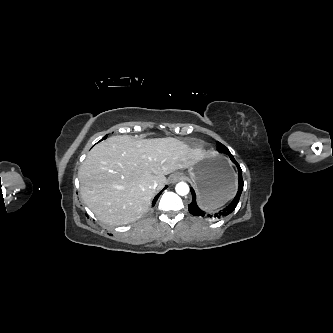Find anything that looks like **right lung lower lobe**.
I'll return each instance as SVG.
<instances>
[{"mask_svg": "<svg viewBox=\"0 0 333 333\" xmlns=\"http://www.w3.org/2000/svg\"><path fill=\"white\" fill-rule=\"evenodd\" d=\"M166 188H167V186L164 189H166ZM163 190L155 196V198L153 200V206L155 205L156 200L158 199V197L160 196V194L163 192Z\"/></svg>", "mask_w": 333, "mask_h": 333, "instance_id": "right-lung-lower-lobe-1", "label": "right lung lower lobe"}]
</instances>
